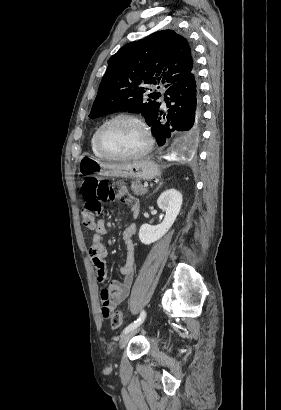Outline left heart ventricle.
Listing matches in <instances>:
<instances>
[{"mask_svg":"<svg viewBox=\"0 0 281 410\" xmlns=\"http://www.w3.org/2000/svg\"><path fill=\"white\" fill-rule=\"evenodd\" d=\"M104 147L115 154H131L143 148L146 142L142 128L127 119L109 125L102 135Z\"/></svg>","mask_w":281,"mask_h":410,"instance_id":"obj_1","label":"left heart ventricle"}]
</instances>
